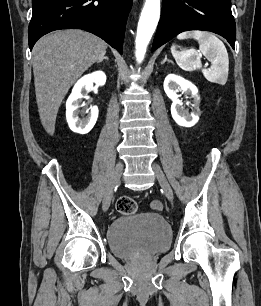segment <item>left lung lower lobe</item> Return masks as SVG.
<instances>
[{"label": "left lung lower lobe", "instance_id": "left-lung-lower-lobe-1", "mask_svg": "<svg viewBox=\"0 0 261 306\" xmlns=\"http://www.w3.org/2000/svg\"><path fill=\"white\" fill-rule=\"evenodd\" d=\"M187 30L217 33L234 48L236 25L231 0H163L152 51Z\"/></svg>", "mask_w": 261, "mask_h": 306}]
</instances>
